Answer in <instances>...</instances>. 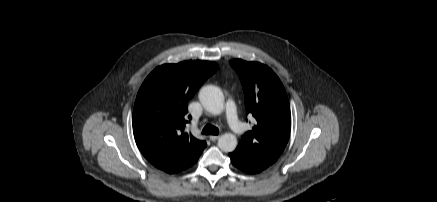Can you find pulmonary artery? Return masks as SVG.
I'll use <instances>...</instances> for the list:
<instances>
[{
	"mask_svg": "<svg viewBox=\"0 0 437 202\" xmlns=\"http://www.w3.org/2000/svg\"><path fill=\"white\" fill-rule=\"evenodd\" d=\"M226 119L233 132L239 134L243 131V125L237 118L235 104L231 99L226 103Z\"/></svg>",
	"mask_w": 437,
	"mask_h": 202,
	"instance_id": "1",
	"label": "pulmonary artery"
}]
</instances>
